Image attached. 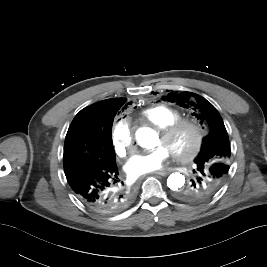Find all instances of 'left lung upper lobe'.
I'll use <instances>...</instances> for the list:
<instances>
[{
  "label": "left lung upper lobe",
  "mask_w": 267,
  "mask_h": 267,
  "mask_svg": "<svg viewBox=\"0 0 267 267\" xmlns=\"http://www.w3.org/2000/svg\"><path fill=\"white\" fill-rule=\"evenodd\" d=\"M164 100L191 108L192 115L208 129L209 133L203 138L201 150L194 160L196 178L177 192L178 199L185 202L206 199L218 191L228 175L231 149L223 120L216 108L198 94L171 92Z\"/></svg>",
  "instance_id": "1"
}]
</instances>
